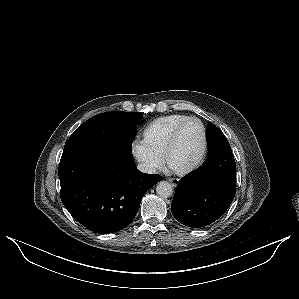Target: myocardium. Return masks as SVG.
Here are the masks:
<instances>
[{
	"instance_id": "1",
	"label": "myocardium",
	"mask_w": 299,
	"mask_h": 299,
	"mask_svg": "<svg viewBox=\"0 0 299 299\" xmlns=\"http://www.w3.org/2000/svg\"><path fill=\"white\" fill-rule=\"evenodd\" d=\"M190 123H197L201 128L202 143H201L200 153H199L197 159L195 160V162L193 164H191L190 166L183 168V169H175L169 165L168 156L175 144V141H176V138H177L179 132ZM206 149H207V134H206V129H205L204 124L198 118H189L186 121H184L183 123H181L178 127H176L175 130L170 135V137L167 141V144L164 148L163 154H162V161H163V164L165 165V167L169 171L173 172L174 174H176L178 176L186 175L188 173H191L192 171H194L201 165V163L204 160L205 154H206Z\"/></svg>"
}]
</instances>
